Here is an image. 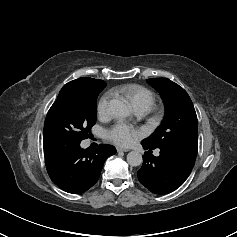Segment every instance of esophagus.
Instances as JSON below:
<instances>
[{
	"mask_svg": "<svg viewBox=\"0 0 237 237\" xmlns=\"http://www.w3.org/2000/svg\"><path fill=\"white\" fill-rule=\"evenodd\" d=\"M129 149L117 147V152H128Z\"/></svg>",
	"mask_w": 237,
	"mask_h": 237,
	"instance_id": "obj_1",
	"label": "esophagus"
}]
</instances>
